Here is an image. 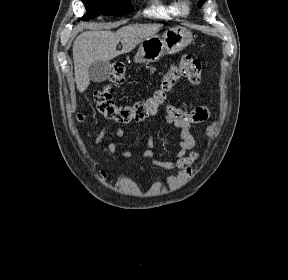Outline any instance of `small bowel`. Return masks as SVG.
Masks as SVG:
<instances>
[{
  "label": "small bowel",
  "mask_w": 288,
  "mask_h": 280,
  "mask_svg": "<svg viewBox=\"0 0 288 280\" xmlns=\"http://www.w3.org/2000/svg\"><path fill=\"white\" fill-rule=\"evenodd\" d=\"M155 113L152 116H156ZM211 112L207 106H198L190 111L183 110L171 104L166 106V112L163 119L166 123L173 125L179 132L180 139L178 142L177 158L175 161H160L155 158L153 152L148 148L144 151L143 156L150 159L154 164L165 169H178V174L174 176H167L164 182L169 187H176L183 183L192 173V166L198 160L199 153L195 151V138L191 132L194 124L206 122L210 118ZM146 125H151L149 121H142ZM108 125L104 126L96 136L95 143L100 145L105 137ZM214 131V125L207 128L208 134ZM127 131L125 128H119L116 131L118 137H124ZM119 148L118 142H111L108 145V151L111 155H115ZM123 157L130 159L133 154L129 150L122 151ZM105 177V173L101 172Z\"/></svg>",
  "instance_id": "obj_1"
}]
</instances>
